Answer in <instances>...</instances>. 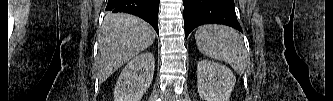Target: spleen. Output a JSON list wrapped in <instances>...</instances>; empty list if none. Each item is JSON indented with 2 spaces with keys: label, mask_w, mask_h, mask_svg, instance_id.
Returning a JSON list of instances; mask_svg holds the SVG:
<instances>
[{
  "label": "spleen",
  "mask_w": 333,
  "mask_h": 101,
  "mask_svg": "<svg viewBox=\"0 0 333 101\" xmlns=\"http://www.w3.org/2000/svg\"><path fill=\"white\" fill-rule=\"evenodd\" d=\"M195 40L202 54L229 63L239 75L244 73L248 55L236 30L222 25H203L196 30Z\"/></svg>",
  "instance_id": "1"
}]
</instances>
